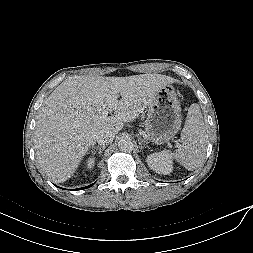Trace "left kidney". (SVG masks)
<instances>
[{"label": "left kidney", "instance_id": "5707ae66", "mask_svg": "<svg viewBox=\"0 0 253 253\" xmlns=\"http://www.w3.org/2000/svg\"><path fill=\"white\" fill-rule=\"evenodd\" d=\"M146 162L150 169L158 174L168 175L173 169L172 154L168 150L150 154Z\"/></svg>", "mask_w": 253, "mask_h": 253}]
</instances>
